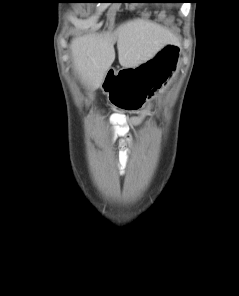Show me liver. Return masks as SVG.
Instances as JSON below:
<instances>
[{
  "label": "liver",
  "instance_id": "obj_1",
  "mask_svg": "<svg viewBox=\"0 0 239 296\" xmlns=\"http://www.w3.org/2000/svg\"><path fill=\"white\" fill-rule=\"evenodd\" d=\"M116 41L120 65L133 68L149 60L164 44L176 43L177 39L168 29L144 19L128 21L112 34H89L73 39L70 48L74 68L92 89L101 86L115 60Z\"/></svg>",
  "mask_w": 239,
  "mask_h": 296
}]
</instances>
